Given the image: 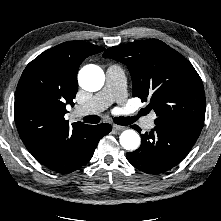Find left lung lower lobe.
<instances>
[{
    "mask_svg": "<svg viewBox=\"0 0 221 221\" xmlns=\"http://www.w3.org/2000/svg\"><path fill=\"white\" fill-rule=\"evenodd\" d=\"M140 132L137 125L132 126ZM141 146L126 153L127 160L147 174H160L178 165L197 141L196 136L174 129L155 126L141 135Z\"/></svg>",
    "mask_w": 221,
    "mask_h": 221,
    "instance_id": "obj_1",
    "label": "left lung lower lobe"
}]
</instances>
